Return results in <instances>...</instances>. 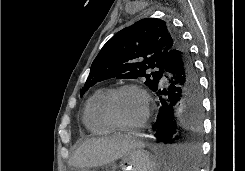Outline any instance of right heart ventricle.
<instances>
[{"mask_svg":"<svg viewBox=\"0 0 245 171\" xmlns=\"http://www.w3.org/2000/svg\"><path fill=\"white\" fill-rule=\"evenodd\" d=\"M108 91L109 89L106 87L97 89L85 103L83 123L87 130L93 134H110L116 129L108 122L102 111V102Z\"/></svg>","mask_w":245,"mask_h":171,"instance_id":"e07e8e85","label":"right heart ventricle"}]
</instances>
